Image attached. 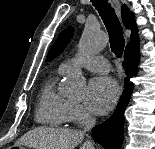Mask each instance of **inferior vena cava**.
Returning <instances> with one entry per match:
<instances>
[{"label": "inferior vena cava", "mask_w": 155, "mask_h": 149, "mask_svg": "<svg viewBox=\"0 0 155 149\" xmlns=\"http://www.w3.org/2000/svg\"><path fill=\"white\" fill-rule=\"evenodd\" d=\"M95 122H96L95 117L89 116L87 121L84 124L83 133L90 131L92 127L94 126ZM89 143L92 144L90 141Z\"/></svg>", "instance_id": "inferior-vena-cava-1"}]
</instances>
